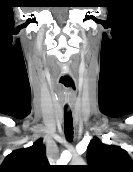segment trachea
I'll return each instance as SVG.
<instances>
[{
    "label": "trachea",
    "mask_w": 133,
    "mask_h": 172,
    "mask_svg": "<svg viewBox=\"0 0 133 172\" xmlns=\"http://www.w3.org/2000/svg\"><path fill=\"white\" fill-rule=\"evenodd\" d=\"M64 132L68 141L73 138V120L71 111H65L64 114Z\"/></svg>",
    "instance_id": "3493384b"
}]
</instances>
